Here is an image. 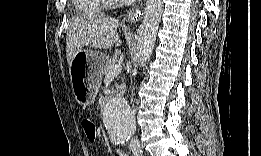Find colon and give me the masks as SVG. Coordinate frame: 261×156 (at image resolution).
I'll use <instances>...</instances> for the list:
<instances>
[{"label":"colon","instance_id":"5ec220e1","mask_svg":"<svg viewBox=\"0 0 261 156\" xmlns=\"http://www.w3.org/2000/svg\"><path fill=\"white\" fill-rule=\"evenodd\" d=\"M81 128L85 134L87 141L93 144L96 141L98 135L97 126L94 120L89 116L82 117Z\"/></svg>","mask_w":261,"mask_h":156}]
</instances>
